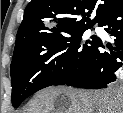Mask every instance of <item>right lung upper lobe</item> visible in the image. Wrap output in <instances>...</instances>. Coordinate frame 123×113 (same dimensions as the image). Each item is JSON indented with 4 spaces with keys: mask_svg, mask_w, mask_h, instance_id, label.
I'll list each match as a JSON object with an SVG mask.
<instances>
[{
    "mask_svg": "<svg viewBox=\"0 0 123 113\" xmlns=\"http://www.w3.org/2000/svg\"><path fill=\"white\" fill-rule=\"evenodd\" d=\"M121 2L123 0H32L24 11L15 47L73 29L91 28Z\"/></svg>",
    "mask_w": 123,
    "mask_h": 113,
    "instance_id": "obj_1",
    "label": "right lung upper lobe"
}]
</instances>
